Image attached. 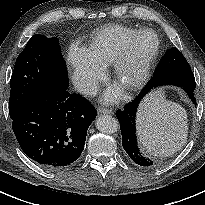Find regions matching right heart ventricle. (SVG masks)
<instances>
[{
    "label": "right heart ventricle",
    "mask_w": 205,
    "mask_h": 205,
    "mask_svg": "<svg viewBox=\"0 0 205 205\" xmlns=\"http://www.w3.org/2000/svg\"><path fill=\"white\" fill-rule=\"evenodd\" d=\"M138 31L120 25L107 26L96 33L89 54L102 66L112 64Z\"/></svg>",
    "instance_id": "1"
}]
</instances>
